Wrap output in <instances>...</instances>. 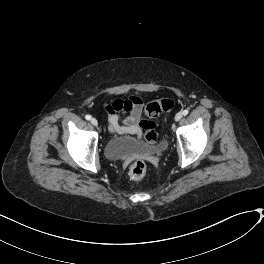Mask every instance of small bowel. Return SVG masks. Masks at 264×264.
Returning a JSON list of instances; mask_svg holds the SVG:
<instances>
[{
	"mask_svg": "<svg viewBox=\"0 0 264 264\" xmlns=\"http://www.w3.org/2000/svg\"><path fill=\"white\" fill-rule=\"evenodd\" d=\"M105 111L109 129L114 134H130L137 138L143 137L144 103L138 96L127 100H119L106 105ZM120 112H127L122 116Z\"/></svg>",
	"mask_w": 264,
	"mask_h": 264,
	"instance_id": "1",
	"label": "small bowel"
}]
</instances>
